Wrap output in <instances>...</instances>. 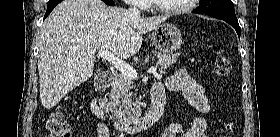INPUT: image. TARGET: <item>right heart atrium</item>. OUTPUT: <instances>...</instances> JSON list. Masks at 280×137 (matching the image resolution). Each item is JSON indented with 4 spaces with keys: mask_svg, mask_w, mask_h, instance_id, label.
Masks as SVG:
<instances>
[{
    "mask_svg": "<svg viewBox=\"0 0 280 137\" xmlns=\"http://www.w3.org/2000/svg\"><path fill=\"white\" fill-rule=\"evenodd\" d=\"M130 5L133 8L144 10L147 7V1L146 0H129Z\"/></svg>",
    "mask_w": 280,
    "mask_h": 137,
    "instance_id": "d8ad5b80",
    "label": "right heart atrium"
}]
</instances>
